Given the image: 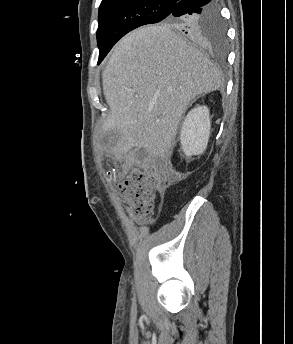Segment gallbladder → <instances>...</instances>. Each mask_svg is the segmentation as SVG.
Here are the masks:
<instances>
[{
	"mask_svg": "<svg viewBox=\"0 0 293 344\" xmlns=\"http://www.w3.org/2000/svg\"><path fill=\"white\" fill-rule=\"evenodd\" d=\"M116 138V133L114 131H107L101 137L100 143L104 147L112 146L114 145Z\"/></svg>",
	"mask_w": 293,
	"mask_h": 344,
	"instance_id": "obj_1",
	"label": "gallbladder"
}]
</instances>
